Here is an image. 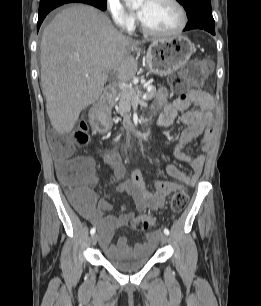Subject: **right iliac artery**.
I'll return each instance as SVG.
<instances>
[{
  "instance_id": "82829eb1",
  "label": "right iliac artery",
  "mask_w": 261,
  "mask_h": 306,
  "mask_svg": "<svg viewBox=\"0 0 261 306\" xmlns=\"http://www.w3.org/2000/svg\"><path fill=\"white\" fill-rule=\"evenodd\" d=\"M96 229L93 227L91 230H90V234L93 235L95 233Z\"/></svg>"
}]
</instances>
